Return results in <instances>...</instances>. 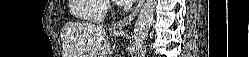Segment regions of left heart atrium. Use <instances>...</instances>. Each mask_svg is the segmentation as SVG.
<instances>
[{
    "label": "left heart atrium",
    "mask_w": 249,
    "mask_h": 57,
    "mask_svg": "<svg viewBox=\"0 0 249 57\" xmlns=\"http://www.w3.org/2000/svg\"><path fill=\"white\" fill-rule=\"evenodd\" d=\"M117 2H118L119 4H127V3H131L132 0H117Z\"/></svg>",
    "instance_id": "left-heart-atrium-1"
}]
</instances>
